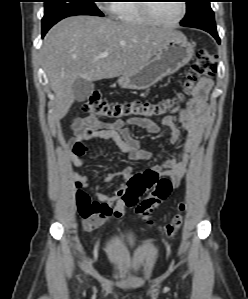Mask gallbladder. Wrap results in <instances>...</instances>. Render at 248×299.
Here are the masks:
<instances>
[{
    "mask_svg": "<svg viewBox=\"0 0 248 299\" xmlns=\"http://www.w3.org/2000/svg\"><path fill=\"white\" fill-rule=\"evenodd\" d=\"M72 90L75 100L78 102H83L92 94L94 90V83L78 77L73 83Z\"/></svg>",
    "mask_w": 248,
    "mask_h": 299,
    "instance_id": "gallbladder-1",
    "label": "gallbladder"
}]
</instances>
